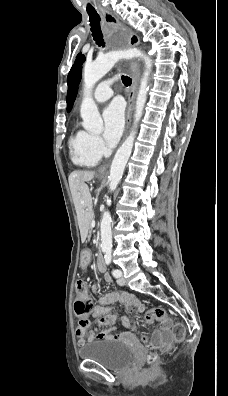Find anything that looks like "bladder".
Returning <instances> with one entry per match:
<instances>
[{"mask_svg": "<svg viewBox=\"0 0 228 396\" xmlns=\"http://www.w3.org/2000/svg\"><path fill=\"white\" fill-rule=\"evenodd\" d=\"M78 353L80 358L98 362L112 370H124L134 360V351L131 346L119 339L100 340L85 344Z\"/></svg>", "mask_w": 228, "mask_h": 396, "instance_id": "31cf9c89", "label": "bladder"}]
</instances>
